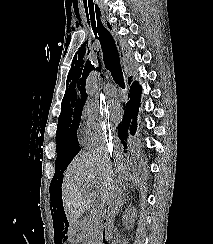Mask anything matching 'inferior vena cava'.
<instances>
[{
    "mask_svg": "<svg viewBox=\"0 0 213 244\" xmlns=\"http://www.w3.org/2000/svg\"><path fill=\"white\" fill-rule=\"evenodd\" d=\"M113 141L117 142L118 138L114 137ZM113 147H114V150H113ZM107 150L110 155H112V153L115 155H117L119 153L118 147L116 145H113L112 147H110V150L109 149H107ZM110 159L112 161L111 163L113 164L114 163L113 158L111 157ZM111 167L114 168L115 166L112 165ZM113 171L115 172L116 170L114 169ZM113 189H114V192L104 201V204L107 207V215H108L109 222L116 214L117 209L122 202V195H121L122 193H121L119 186H114Z\"/></svg>",
    "mask_w": 213,
    "mask_h": 244,
    "instance_id": "inferior-vena-cava-1",
    "label": "inferior vena cava"
}]
</instances>
